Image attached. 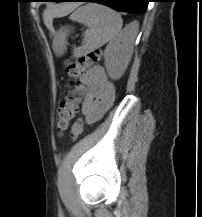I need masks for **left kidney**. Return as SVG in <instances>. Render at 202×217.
Masks as SVG:
<instances>
[{"instance_id":"1","label":"left kidney","mask_w":202,"mask_h":217,"mask_svg":"<svg viewBox=\"0 0 202 217\" xmlns=\"http://www.w3.org/2000/svg\"><path fill=\"white\" fill-rule=\"evenodd\" d=\"M127 30L113 39L104 51V64L109 77L113 80L122 77L132 56L134 36H127Z\"/></svg>"}]
</instances>
